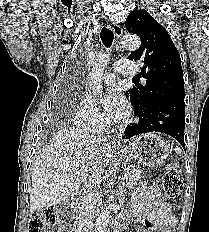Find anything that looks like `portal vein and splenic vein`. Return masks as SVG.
I'll list each match as a JSON object with an SVG mask.
<instances>
[{
	"label": "portal vein and splenic vein",
	"instance_id": "obj_1",
	"mask_svg": "<svg viewBox=\"0 0 209 232\" xmlns=\"http://www.w3.org/2000/svg\"><path fill=\"white\" fill-rule=\"evenodd\" d=\"M125 179H127V174H125Z\"/></svg>",
	"mask_w": 209,
	"mask_h": 232
}]
</instances>
